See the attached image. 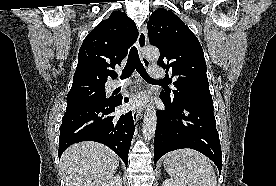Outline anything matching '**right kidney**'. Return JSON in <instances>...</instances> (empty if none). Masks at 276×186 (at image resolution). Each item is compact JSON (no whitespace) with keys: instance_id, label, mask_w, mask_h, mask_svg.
<instances>
[{"instance_id":"ca27d5eb","label":"right kidney","mask_w":276,"mask_h":186,"mask_svg":"<svg viewBox=\"0 0 276 186\" xmlns=\"http://www.w3.org/2000/svg\"><path fill=\"white\" fill-rule=\"evenodd\" d=\"M103 186H122V178L119 175H116Z\"/></svg>"}]
</instances>
